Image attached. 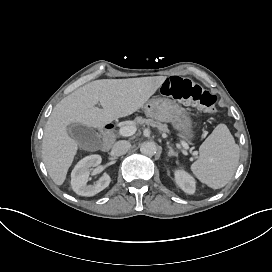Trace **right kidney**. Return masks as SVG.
<instances>
[{
  "mask_svg": "<svg viewBox=\"0 0 272 272\" xmlns=\"http://www.w3.org/2000/svg\"><path fill=\"white\" fill-rule=\"evenodd\" d=\"M102 163L100 155H90L77 163L71 173V185L73 190L81 196H94L107 188L111 178L108 173L102 174L101 178L94 185L87 184L91 169L94 173H99V165Z\"/></svg>",
  "mask_w": 272,
  "mask_h": 272,
  "instance_id": "ca27d5eb",
  "label": "right kidney"
}]
</instances>
